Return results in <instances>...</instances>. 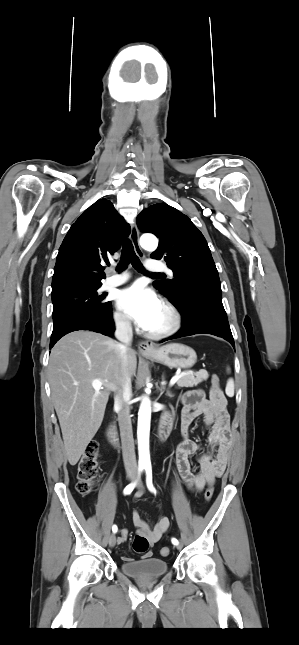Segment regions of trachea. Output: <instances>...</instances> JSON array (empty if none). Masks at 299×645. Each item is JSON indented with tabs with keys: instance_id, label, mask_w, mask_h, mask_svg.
I'll return each instance as SVG.
<instances>
[{
	"instance_id": "trachea-1",
	"label": "trachea",
	"mask_w": 299,
	"mask_h": 645,
	"mask_svg": "<svg viewBox=\"0 0 299 645\" xmlns=\"http://www.w3.org/2000/svg\"><path fill=\"white\" fill-rule=\"evenodd\" d=\"M131 263L132 266L138 270L139 272H145L138 256L136 255L133 245L129 240H125L123 243V248L121 250V257L119 264L117 266V270L119 272L123 271L124 269L127 268L128 264ZM152 275H161L160 273H153Z\"/></svg>"
}]
</instances>
